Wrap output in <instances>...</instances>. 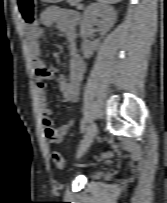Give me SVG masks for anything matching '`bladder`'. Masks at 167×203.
I'll return each instance as SVG.
<instances>
[{
  "label": "bladder",
  "mask_w": 167,
  "mask_h": 203,
  "mask_svg": "<svg viewBox=\"0 0 167 203\" xmlns=\"http://www.w3.org/2000/svg\"><path fill=\"white\" fill-rule=\"evenodd\" d=\"M102 177L103 173L100 171H96L90 176V179H101Z\"/></svg>",
  "instance_id": "obj_1"
}]
</instances>
